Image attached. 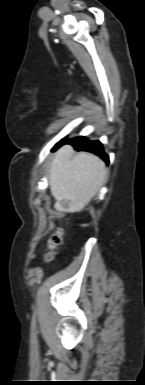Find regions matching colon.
I'll return each mask as SVG.
<instances>
[{
	"mask_svg": "<svg viewBox=\"0 0 145 385\" xmlns=\"http://www.w3.org/2000/svg\"><path fill=\"white\" fill-rule=\"evenodd\" d=\"M62 238H63V232L61 229L54 231L52 234L49 235V237L47 239L48 248L50 250H52V249L56 248L57 246H59L62 242ZM45 258L47 261L51 260L52 259V253L48 252L46 254Z\"/></svg>",
	"mask_w": 145,
	"mask_h": 385,
	"instance_id": "colon-1",
	"label": "colon"
}]
</instances>
